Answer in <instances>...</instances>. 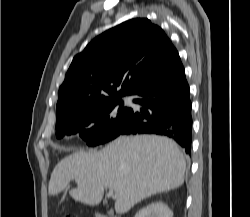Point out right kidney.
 <instances>
[{"mask_svg":"<svg viewBox=\"0 0 250 217\" xmlns=\"http://www.w3.org/2000/svg\"><path fill=\"white\" fill-rule=\"evenodd\" d=\"M135 217H173V213L165 203L153 202L142 208Z\"/></svg>","mask_w":250,"mask_h":217,"instance_id":"ca27d5eb","label":"right kidney"}]
</instances>
